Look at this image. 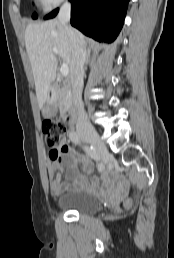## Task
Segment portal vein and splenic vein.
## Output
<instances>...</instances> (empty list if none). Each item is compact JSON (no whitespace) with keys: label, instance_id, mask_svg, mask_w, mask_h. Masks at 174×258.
<instances>
[{"label":"portal vein and splenic vein","instance_id":"1","mask_svg":"<svg viewBox=\"0 0 174 258\" xmlns=\"http://www.w3.org/2000/svg\"><path fill=\"white\" fill-rule=\"evenodd\" d=\"M55 54H58V50L56 48L53 49ZM61 73L63 76H67L69 74V67L66 63H63L61 66Z\"/></svg>","mask_w":174,"mask_h":258}]
</instances>
